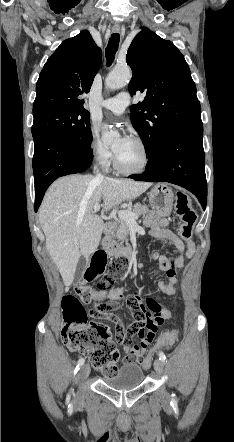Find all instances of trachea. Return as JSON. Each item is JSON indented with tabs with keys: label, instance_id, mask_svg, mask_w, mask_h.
Here are the masks:
<instances>
[{
	"label": "trachea",
	"instance_id": "obj_1",
	"mask_svg": "<svg viewBox=\"0 0 234 442\" xmlns=\"http://www.w3.org/2000/svg\"><path fill=\"white\" fill-rule=\"evenodd\" d=\"M119 42H120V37L118 33H113L111 35V38L109 39L107 48H106V60H107V64L111 65L112 62L115 59V54L118 50V46H119Z\"/></svg>",
	"mask_w": 234,
	"mask_h": 442
}]
</instances>
